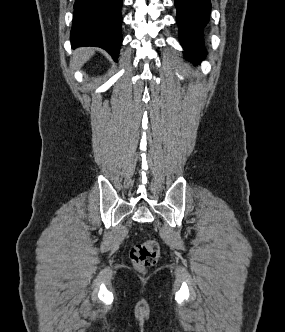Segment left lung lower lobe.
Listing matches in <instances>:
<instances>
[{"label":"left lung lower lobe","instance_id":"0a47b994","mask_svg":"<svg viewBox=\"0 0 285 332\" xmlns=\"http://www.w3.org/2000/svg\"><path fill=\"white\" fill-rule=\"evenodd\" d=\"M175 6L185 55L198 62L204 54L203 27L209 21L210 0H175Z\"/></svg>","mask_w":285,"mask_h":332}]
</instances>
